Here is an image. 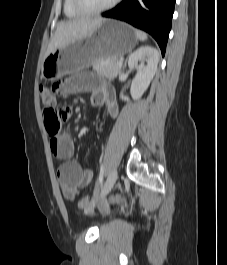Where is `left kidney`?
<instances>
[{
	"instance_id": "obj_1",
	"label": "left kidney",
	"mask_w": 227,
	"mask_h": 265,
	"mask_svg": "<svg viewBox=\"0 0 227 265\" xmlns=\"http://www.w3.org/2000/svg\"><path fill=\"white\" fill-rule=\"evenodd\" d=\"M158 61L159 53L151 46L140 47L129 56V68L137 70L130 87V94L134 100L139 99L147 90L157 70ZM138 62H146V65L138 66ZM120 98L124 101L129 100L123 93L120 94Z\"/></svg>"
}]
</instances>
